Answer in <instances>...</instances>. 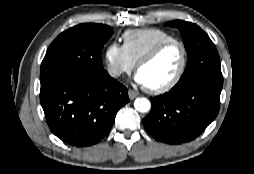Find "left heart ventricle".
Returning a JSON list of instances; mask_svg holds the SVG:
<instances>
[{
	"instance_id": "left-heart-ventricle-1",
	"label": "left heart ventricle",
	"mask_w": 254,
	"mask_h": 174,
	"mask_svg": "<svg viewBox=\"0 0 254 174\" xmlns=\"http://www.w3.org/2000/svg\"><path fill=\"white\" fill-rule=\"evenodd\" d=\"M182 60L181 48L174 44L164 49L152 62L142 66L138 73L147 87H160L177 73Z\"/></svg>"
}]
</instances>
